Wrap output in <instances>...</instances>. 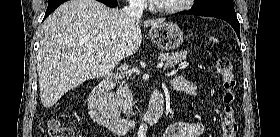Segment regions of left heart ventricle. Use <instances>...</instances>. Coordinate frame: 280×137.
<instances>
[{"label": "left heart ventricle", "instance_id": "1", "mask_svg": "<svg viewBox=\"0 0 280 137\" xmlns=\"http://www.w3.org/2000/svg\"><path fill=\"white\" fill-rule=\"evenodd\" d=\"M161 6H175L180 3V0H156Z\"/></svg>", "mask_w": 280, "mask_h": 137}]
</instances>
